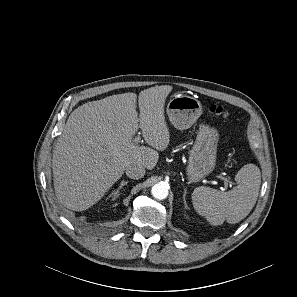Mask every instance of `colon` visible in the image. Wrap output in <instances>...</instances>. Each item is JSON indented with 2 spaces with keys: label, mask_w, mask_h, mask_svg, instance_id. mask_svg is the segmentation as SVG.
Wrapping results in <instances>:
<instances>
[{
  "label": "colon",
  "mask_w": 297,
  "mask_h": 297,
  "mask_svg": "<svg viewBox=\"0 0 297 297\" xmlns=\"http://www.w3.org/2000/svg\"><path fill=\"white\" fill-rule=\"evenodd\" d=\"M209 111L216 115V116H221V117H225L227 115L226 111L223 109V107L219 106V105H212L209 108Z\"/></svg>",
  "instance_id": "5ec220e1"
}]
</instances>
